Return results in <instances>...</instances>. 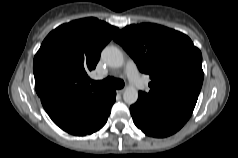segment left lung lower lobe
<instances>
[{
    "label": "left lung lower lobe",
    "mask_w": 238,
    "mask_h": 158,
    "mask_svg": "<svg viewBox=\"0 0 238 158\" xmlns=\"http://www.w3.org/2000/svg\"><path fill=\"white\" fill-rule=\"evenodd\" d=\"M198 95L187 94L167 99H151L139 93L130 107L135 125L146 135L166 137L177 132L190 118Z\"/></svg>",
    "instance_id": "obj_1"
}]
</instances>
